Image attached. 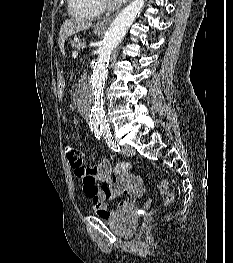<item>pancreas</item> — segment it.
Returning a JSON list of instances; mask_svg holds the SVG:
<instances>
[{
    "label": "pancreas",
    "instance_id": "pancreas-1",
    "mask_svg": "<svg viewBox=\"0 0 233 263\" xmlns=\"http://www.w3.org/2000/svg\"><path fill=\"white\" fill-rule=\"evenodd\" d=\"M71 46L73 47V48H81V47H84L85 46V43L83 42V41H81V40H79V41H72L71 42Z\"/></svg>",
    "mask_w": 233,
    "mask_h": 263
}]
</instances>
